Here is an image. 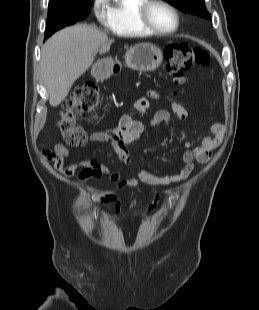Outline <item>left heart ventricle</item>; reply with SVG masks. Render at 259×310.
I'll list each match as a JSON object with an SVG mask.
<instances>
[{"label":"left heart ventricle","instance_id":"1","mask_svg":"<svg viewBox=\"0 0 259 310\" xmlns=\"http://www.w3.org/2000/svg\"><path fill=\"white\" fill-rule=\"evenodd\" d=\"M149 18L152 24L161 30H171L176 25L173 13L159 4L153 5L150 8Z\"/></svg>","mask_w":259,"mask_h":310}]
</instances>
